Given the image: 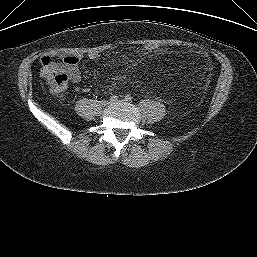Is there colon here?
Segmentation results:
<instances>
[{
    "label": "colon",
    "mask_w": 257,
    "mask_h": 257,
    "mask_svg": "<svg viewBox=\"0 0 257 257\" xmlns=\"http://www.w3.org/2000/svg\"><path fill=\"white\" fill-rule=\"evenodd\" d=\"M144 50L147 53H153L159 50V47L154 44L144 45ZM42 75L49 83L52 91L56 94H62L68 82V75L59 67L55 66L49 57L42 59Z\"/></svg>",
    "instance_id": "colon-1"
}]
</instances>
